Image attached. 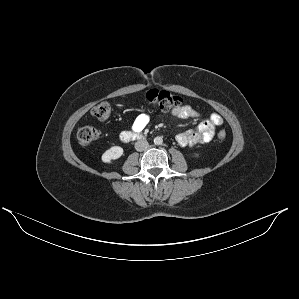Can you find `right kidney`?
Segmentation results:
<instances>
[{"instance_id": "ca27d5eb", "label": "right kidney", "mask_w": 299, "mask_h": 299, "mask_svg": "<svg viewBox=\"0 0 299 299\" xmlns=\"http://www.w3.org/2000/svg\"><path fill=\"white\" fill-rule=\"evenodd\" d=\"M123 148L120 146H112L110 149L106 150L101 159L104 163H111L113 160L120 158L123 155Z\"/></svg>"}]
</instances>
